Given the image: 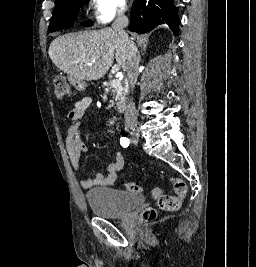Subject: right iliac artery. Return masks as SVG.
<instances>
[{
    "instance_id": "1",
    "label": "right iliac artery",
    "mask_w": 256,
    "mask_h": 267,
    "mask_svg": "<svg viewBox=\"0 0 256 267\" xmlns=\"http://www.w3.org/2000/svg\"><path fill=\"white\" fill-rule=\"evenodd\" d=\"M129 143H130V140H129L128 138H126V137H122V138L120 139V144H121L124 148L128 147Z\"/></svg>"
}]
</instances>
